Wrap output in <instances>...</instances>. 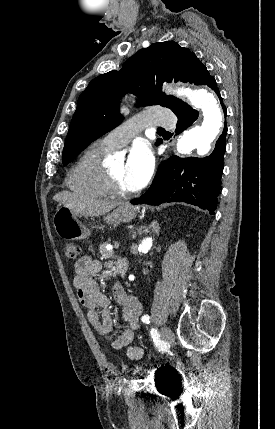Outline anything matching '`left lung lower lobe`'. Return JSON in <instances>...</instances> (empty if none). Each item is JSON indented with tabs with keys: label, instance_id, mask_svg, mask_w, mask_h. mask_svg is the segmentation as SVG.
<instances>
[{
	"label": "left lung lower lobe",
	"instance_id": "obj_1",
	"mask_svg": "<svg viewBox=\"0 0 275 429\" xmlns=\"http://www.w3.org/2000/svg\"><path fill=\"white\" fill-rule=\"evenodd\" d=\"M197 85H207L212 88L218 94L223 110L226 112L216 81L205 66L200 70ZM173 112L178 117L175 130L177 134L191 126L198 117V111L186 103ZM226 133L225 126L214 151L207 157L173 156L162 162L150 188L142 197L134 199L131 203L160 205L168 202H186L207 209L214 215L221 189Z\"/></svg>",
	"mask_w": 275,
	"mask_h": 429
}]
</instances>
